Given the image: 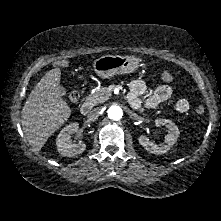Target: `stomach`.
Returning <instances> with one entry per match:
<instances>
[{
  "instance_id": "obj_1",
  "label": "stomach",
  "mask_w": 221,
  "mask_h": 221,
  "mask_svg": "<svg viewBox=\"0 0 221 221\" xmlns=\"http://www.w3.org/2000/svg\"><path fill=\"white\" fill-rule=\"evenodd\" d=\"M140 65L136 56L105 55L96 59L93 70L101 78H109L117 74H126L135 71Z\"/></svg>"
}]
</instances>
